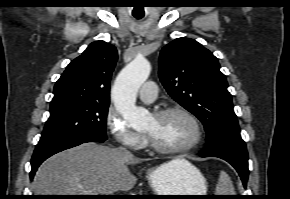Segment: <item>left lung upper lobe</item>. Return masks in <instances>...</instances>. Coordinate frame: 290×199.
<instances>
[{
    "instance_id": "5c2ea615",
    "label": "left lung upper lobe",
    "mask_w": 290,
    "mask_h": 199,
    "mask_svg": "<svg viewBox=\"0 0 290 199\" xmlns=\"http://www.w3.org/2000/svg\"><path fill=\"white\" fill-rule=\"evenodd\" d=\"M159 64L168 94L203 123L206 146L241 138L226 77L208 49L193 39L177 38L162 49Z\"/></svg>"
}]
</instances>
